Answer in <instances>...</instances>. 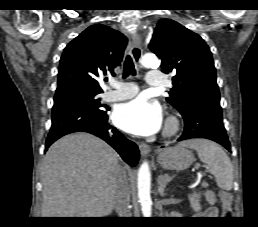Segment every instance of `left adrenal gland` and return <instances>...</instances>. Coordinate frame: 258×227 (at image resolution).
I'll list each match as a JSON object with an SVG mask.
<instances>
[{
    "mask_svg": "<svg viewBox=\"0 0 258 227\" xmlns=\"http://www.w3.org/2000/svg\"><path fill=\"white\" fill-rule=\"evenodd\" d=\"M173 179V176H163V175H159L157 182H158V193L160 194V196L164 197L165 196V188L166 185Z\"/></svg>",
    "mask_w": 258,
    "mask_h": 227,
    "instance_id": "1",
    "label": "left adrenal gland"
}]
</instances>
